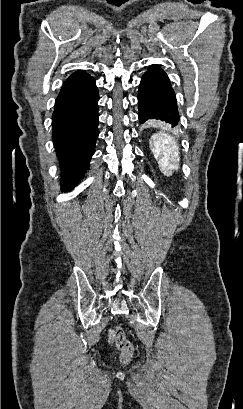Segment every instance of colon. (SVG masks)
<instances>
[{"label": "colon", "instance_id": "5ec220e1", "mask_svg": "<svg viewBox=\"0 0 243 409\" xmlns=\"http://www.w3.org/2000/svg\"><path fill=\"white\" fill-rule=\"evenodd\" d=\"M114 338L117 346L121 350V359L123 362H128L134 353L132 343L127 339L122 327L118 326L114 331Z\"/></svg>", "mask_w": 243, "mask_h": 409}]
</instances>
